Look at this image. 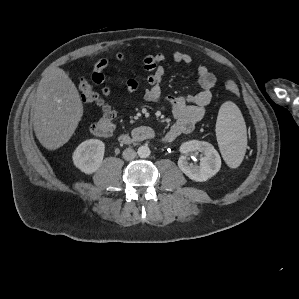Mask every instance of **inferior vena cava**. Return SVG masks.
<instances>
[{
  "instance_id": "obj_1",
  "label": "inferior vena cava",
  "mask_w": 299,
  "mask_h": 299,
  "mask_svg": "<svg viewBox=\"0 0 299 299\" xmlns=\"http://www.w3.org/2000/svg\"><path fill=\"white\" fill-rule=\"evenodd\" d=\"M136 157V152L132 148H126L123 151V158L127 161L133 160Z\"/></svg>"
}]
</instances>
